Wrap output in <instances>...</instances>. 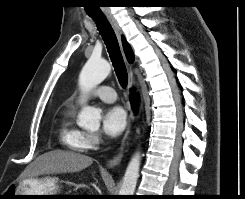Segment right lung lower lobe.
<instances>
[{
    "mask_svg": "<svg viewBox=\"0 0 245 199\" xmlns=\"http://www.w3.org/2000/svg\"><path fill=\"white\" fill-rule=\"evenodd\" d=\"M137 100H138L137 95H136V94H132V95H131V101H132V104H133L134 106H136Z\"/></svg>",
    "mask_w": 245,
    "mask_h": 199,
    "instance_id": "98d812e1",
    "label": "right lung lower lobe"
}]
</instances>
